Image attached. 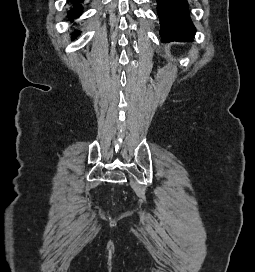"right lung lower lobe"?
<instances>
[{
	"label": "right lung lower lobe",
	"mask_w": 255,
	"mask_h": 272,
	"mask_svg": "<svg viewBox=\"0 0 255 272\" xmlns=\"http://www.w3.org/2000/svg\"><path fill=\"white\" fill-rule=\"evenodd\" d=\"M73 4V8L68 12V17L70 20H73L81 15L82 6L80 5V2L83 0H70ZM79 31H76L73 33L74 36L79 35Z\"/></svg>",
	"instance_id": "1"
}]
</instances>
